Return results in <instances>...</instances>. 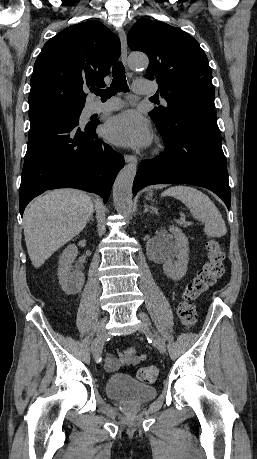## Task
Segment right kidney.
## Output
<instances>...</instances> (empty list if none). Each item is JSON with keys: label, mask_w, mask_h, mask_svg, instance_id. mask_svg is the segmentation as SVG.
<instances>
[{"label": "right kidney", "mask_w": 257, "mask_h": 459, "mask_svg": "<svg viewBox=\"0 0 257 459\" xmlns=\"http://www.w3.org/2000/svg\"><path fill=\"white\" fill-rule=\"evenodd\" d=\"M77 254V247L74 244H70L65 248L59 260V284L67 295L77 294L84 284L83 273L78 268L74 269L72 266Z\"/></svg>", "instance_id": "obj_1"}]
</instances>
